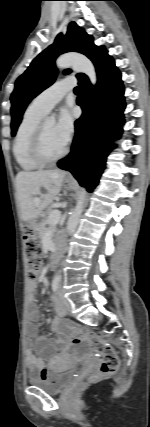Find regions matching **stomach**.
I'll return each instance as SVG.
<instances>
[{"label": "stomach", "instance_id": "1", "mask_svg": "<svg viewBox=\"0 0 150 427\" xmlns=\"http://www.w3.org/2000/svg\"><path fill=\"white\" fill-rule=\"evenodd\" d=\"M64 187H65V189H67V190H73V189L76 187V185H75V183H74V182L66 180V181L64 182Z\"/></svg>", "mask_w": 150, "mask_h": 427}]
</instances>
